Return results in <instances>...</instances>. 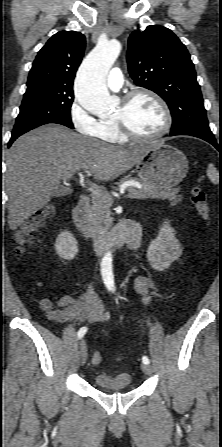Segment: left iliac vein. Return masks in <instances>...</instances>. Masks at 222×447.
Returning a JSON list of instances; mask_svg holds the SVG:
<instances>
[{
  "label": "left iliac vein",
  "instance_id": "left-iliac-vein-1",
  "mask_svg": "<svg viewBox=\"0 0 222 447\" xmlns=\"http://www.w3.org/2000/svg\"><path fill=\"white\" fill-rule=\"evenodd\" d=\"M141 369H142V371H143L146 375H152V374H153V369H152L151 365H149V364H145V363H143V364L141 365Z\"/></svg>",
  "mask_w": 222,
  "mask_h": 447
}]
</instances>
